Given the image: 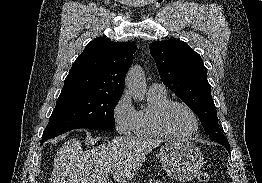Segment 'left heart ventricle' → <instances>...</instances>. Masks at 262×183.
Masks as SVG:
<instances>
[{
    "label": "left heart ventricle",
    "instance_id": "left-heart-ventricle-1",
    "mask_svg": "<svg viewBox=\"0 0 262 183\" xmlns=\"http://www.w3.org/2000/svg\"><path fill=\"white\" fill-rule=\"evenodd\" d=\"M167 126L177 134L191 132L195 127V121L191 113L182 106H174L168 113Z\"/></svg>",
    "mask_w": 262,
    "mask_h": 183
}]
</instances>
